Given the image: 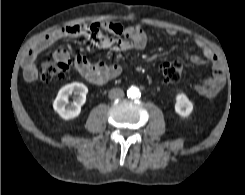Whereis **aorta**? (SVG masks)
Listing matches in <instances>:
<instances>
[{
    "instance_id": "1",
    "label": "aorta",
    "mask_w": 245,
    "mask_h": 195,
    "mask_svg": "<svg viewBox=\"0 0 245 195\" xmlns=\"http://www.w3.org/2000/svg\"><path fill=\"white\" fill-rule=\"evenodd\" d=\"M140 95V91L137 87L132 86L127 90V96L131 99L138 98Z\"/></svg>"
}]
</instances>
